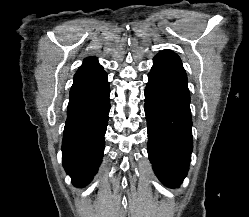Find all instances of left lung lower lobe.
<instances>
[{
	"instance_id": "obj_1",
	"label": "left lung lower lobe",
	"mask_w": 249,
	"mask_h": 217,
	"mask_svg": "<svg viewBox=\"0 0 249 217\" xmlns=\"http://www.w3.org/2000/svg\"><path fill=\"white\" fill-rule=\"evenodd\" d=\"M144 108L153 170L164 185L177 188L187 175L193 149L190 93L180 60L154 57Z\"/></svg>"
}]
</instances>
